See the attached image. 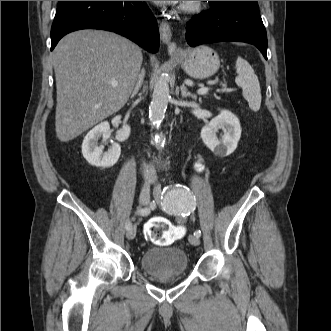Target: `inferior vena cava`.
Returning <instances> with one entry per match:
<instances>
[{"label": "inferior vena cava", "instance_id": "inferior-vena-cava-1", "mask_svg": "<svg viewBox=\"0 0 331 331\" xmlns=\"http://www.w3.org/2000/svg\"><path fill=\"white\" fill-rule=\"evenodd\" d=\"M144 176L147 180H154L155 175L153 173H144Z\"/></svg>", "mask_w": 331, "mask_h": 331}]
</instances>
